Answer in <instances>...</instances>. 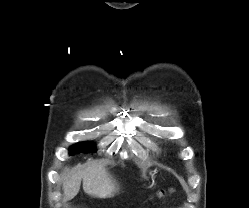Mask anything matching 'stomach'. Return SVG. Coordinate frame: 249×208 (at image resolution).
I'll return each instance as SVG.
<instances>
[{
    "label": "stomach",
    "mask_w": 249,
    "mask_h": 208,
    "mask_svg": "<svg viewBox=\"0 0 249 208\" xmlns=\"http://www.w3.org/2000/svg\"><path fill=\"white\" fill-rule=\"evenodd\" d=\"M153 172H154V171H151V170L145 172V173H144V178H145V179H148L150 176L153 177V175H154Z\"/></svg>",
    "instance_id": "0dacf381"
}]
</instances>
